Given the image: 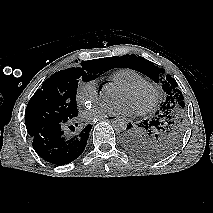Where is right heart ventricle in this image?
<instances>
[{
  "label": "right heart ventricle",
  "mask_w": 213,
  "mask_h": 213,
  "mask_svg": "<svg viewBox=\"0 0 213 213\" xmlns=\"http://www.w3.org/2000/svg\"><path fill=\"white\" fill-rule=\"evenodd\" d=\"M110 78L120 87L144 79L141 73L131 68H118L111 74Z\"/></svg>",
  "instance_id": "1"
}]
</instances>
